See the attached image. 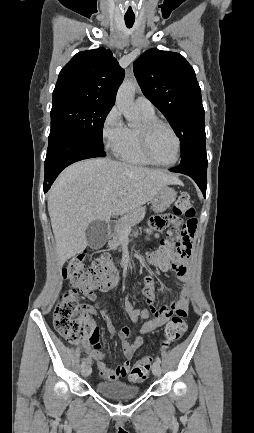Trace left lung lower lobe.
<instances>
[{"label": "left lung lower lobe", "mask_w": 254, "mask_h": 433, "mask_svg": "<svg viewBox=\"0 0 254 433\" xmlns=\"http://www.w3.org/2000/svg\"><path fill=\"white\" fill-rule=\"evenodd\" d=\"M172 172L182 173L190 176L201 189L204 197H206L207 187V162L193 161L170 169Z\"/></svg>", "instance_id": "left-lung-lower-lobe-1"}]
</instances>
